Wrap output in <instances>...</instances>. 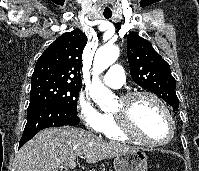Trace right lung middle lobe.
I'll return each instance as SVG.
<instances>
[{
    "mask_svg": "<svg viewBox=\"0 0 199 171\" xmlns=\"http://www.w3.org/2000/svg\"><path fill=\"white\" fill-rule=\"evenodd\" d=\"M82 85L54 79H32L30 103L51 101L77 114V97Z\"/></svg>",
    "mask_w": 199,
    "mask_h": 171,
    "instance_id": "dd1d6c3e",
    "label": "right lung middle lobe"
}]
</instances>
